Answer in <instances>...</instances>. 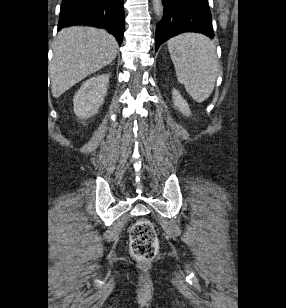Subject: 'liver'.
Here are the masks:
<instances>
[{
    "instance_id": "6515ba94",
    "label": "liver",
    "mask_w": 286,
    "mask_h": 308,
    "mask_svg": "<svg viewBox=\"0 0 286 308\" xmlns=\"http://www.w3.org/2000/svg\"><path fill=\"white\" fill-rule=\"evenodd\" d=\"M53 52L51 92L58 98L76 83L110 64L116 58L118 43L105 30L69 27L58 33Z\"/></svg>"
}]
</instances>
